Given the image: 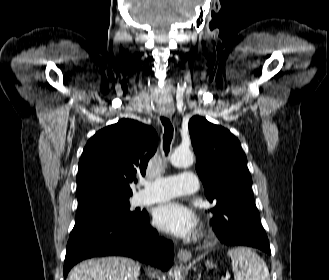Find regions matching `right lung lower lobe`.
I'll return each instance as SVG.
<instances>
[{
    "instance_id": "1",
    "label": "right lung lower lobe",
    "mask_w": 329,
    "mask_h": 280,
    "mask_svg": "<svg viewBox=\"0 0 329 280\" xmlns=\"http://www.w3.org/2000/svg\"><path fill=\"white\" fill-rule=\"evenodd\" d=\"M128 256L168 270L172 265L173 243L158 236L143 212L138 221L101 213L75 223L67 244L64 277L78 262L97 256Z\"/></svg>"
}]
</instances>
